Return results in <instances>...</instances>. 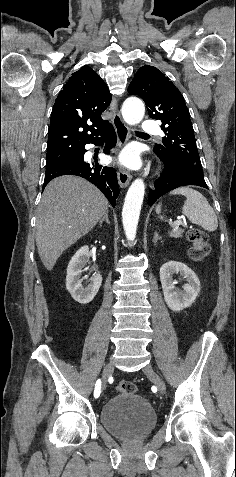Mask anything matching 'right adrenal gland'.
<instances>
[{
	"instance_id": "obj_1",
	"label": "right adrenal gland",
	"mask_w": 236,
	"mask_h": 477,
	"mask_svg": "<svg viewBox=\"0 0 236 477\" xmlns=\"http://www.w3.org/2000/svg\"><path fill=\"white\" fill-rule=\"evenodd\" d=\"M104 221L110 224V220L108 218V211L104 214L103 218L99 221V225L101 226Z\"/></svg>"
}]
</instances>
